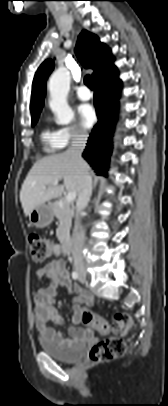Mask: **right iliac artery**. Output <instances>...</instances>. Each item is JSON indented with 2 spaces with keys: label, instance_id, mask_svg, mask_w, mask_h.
<instances>
[{
  "label": "right iliac artery",
  "instance_id": "right-iliac-artery-1",
  "mask_svg": "<svg viewBox=\"0 0 168 406\" xmlns=\"http://www.w3.org/2000/svg\"><path fill=\"white\" fill-rule=\"evenodd\" d=\"M78 276H79V275H78V273H77L76 271H73V272H72V278H73V279H78Z\"/></svg>",
  "mask_w": 168,
  "mask_h": 406
}]
</instances>
